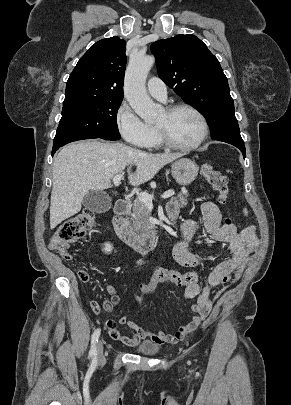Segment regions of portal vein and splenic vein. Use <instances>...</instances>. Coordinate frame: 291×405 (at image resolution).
<instances>
[{
	"instance_id": "18ae733b",
	"label": "portal vein and splenic vein",
	"mask_w": 291,
	"mask_h": 405,
	"mask_svg": "<svg viewBox=\"0 0 291 405\" xmlns=\"http://www.w3.org/2000/svg\"><path fill=\"white\" fill-rule=\"evenodd\" d=\"M121 179H122L121 174L115 175L114 178H113L114 185L119 186ZM174 194H175V192L173 190H167L162 195V198L166 199V198H169V197L173 196ZM153 199H154V196L151 195V194H148L146 192H142L138 196V200H140L141 202H143L144 204H146L148 206H152V200Z\"/></svg>"
}]
</instances>
